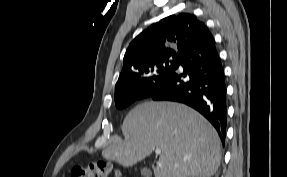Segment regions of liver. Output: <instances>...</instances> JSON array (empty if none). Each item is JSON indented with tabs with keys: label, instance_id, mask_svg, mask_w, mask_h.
Segmentation results:
<instances>
[{
	"label": "liver",
	"instance_id": "6515ba94",
	"mask_svg": "<svg viewBox=\"0 0 287 177\" xmlns=\"http://www.w3.org/2000/svg\"><path fill=\"white\" fill-rule=\"evenodd\" d=\"M126 140L102 152L107 160L130 167L160 149L155 177H211L221 161V142L213 126L198 112L174 102L137 105L122 125Z\"/></svg>",
	"mask_w": 287,
	"mask_h": 177
}]
</instances>
